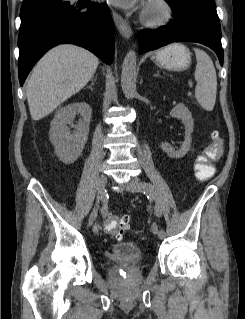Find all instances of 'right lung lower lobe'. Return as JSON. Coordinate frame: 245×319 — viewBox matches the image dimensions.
I'll return each instance as SVG.
<instances>
[{"label": "right lung lower lobe", "mask_w": 245, "mask_h": 319, "mask_svg": "<svg viewBox=\"0 0 245 319\" xmlns=\"http://www.w3.org/2000/svg\"><path fill=\"white\" fill-rule=\"evenodd\" d=\"M20 17L18 75L21 86L35 63L58 44H76L106 64L112 62L114 29L106 3L25 0Z\"/></svg>", "instance_id": "98d812e1"}]
</instances>
